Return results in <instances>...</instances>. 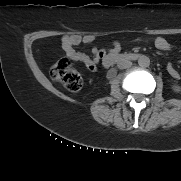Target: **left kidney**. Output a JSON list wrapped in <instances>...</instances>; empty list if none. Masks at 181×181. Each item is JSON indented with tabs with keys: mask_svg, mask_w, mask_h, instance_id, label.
<instances>
[{
	"mask_svg": "<svg viewBox=\"0 0 181 181\" xmlns=\"http://www.w3.org/2000/svg\"><path fill=\"white\" fill-rule=\"evenodd\" d=\"M171 88H172V90H173L174 92H176V93H178V92L181 91V87H180L179 85H176V84L172 85Z\"/></svg>",
	"mask_w": 181,
	"mask_h": 181,
	"instance_id": "left-kidney-1",
	"label": "left kidney"
}]
</instances>
